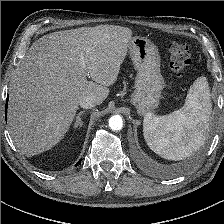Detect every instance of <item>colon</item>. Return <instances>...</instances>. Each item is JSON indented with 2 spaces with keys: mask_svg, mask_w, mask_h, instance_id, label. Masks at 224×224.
Returning <instances> with one entry per match:
<instances>
[{
  "mask_svg": "<svg viewBox=\"0 0 224 224\" xmlns=\"http://www.w3.org/2000/svg\"><path fill=\"white\" fill-rule=\"evenodd\" d=\"M170 53V68L177 78L186 74L191 64L190 50L186 43L171 42L168 46Z\"/></svg>",
  "mask_w": 224,
  "mask_h": 224,
  "instance_id": "5ec220e1",
  "label": "colon"
}]
</instances>
